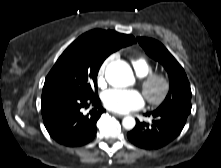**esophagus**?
Returning <instances> with one entry per match:
<instances>
[{
    "instance_id": "1",
    "label": "esophagus",
    "mask_w": 221,
    "mask_h": 168,
    "mask_svg": "<svg viewBox=\"0 0 221 168\" xmlns=\"http://www.w3.org/2000/svg\"><path fill=\"white\" fill-rule=\"evenodd\" d=\"M112 115L116 116V117H119V118H122L123 115L122 114H118V113H115V112H111Z\"/></svg>"
}]
</instances>
